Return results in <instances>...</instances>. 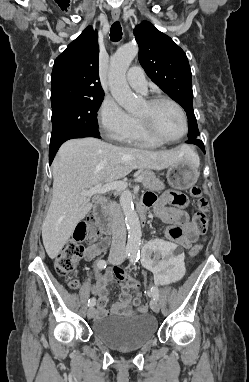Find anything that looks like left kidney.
Masks as SVG:
<instances>
[{"label": "left kidney", "instance_id": "obj_1", "mask_svg": "<svg viewBox=\"0 0 249 382\" xmlns=\"http://www.w3.org/2000/svg\"><path fill=\"white\" fill-rule=\"evenodd\" d=\"M171 244L164 237H152L147 245H142L139 266L145 267L146 273H152V282L158 286L172 287L176 280L181 281L187 276L188 267L184 266L181 245Z\"/></svg>", "mask_w": 249, "mask_h": 382}]
</instances>
